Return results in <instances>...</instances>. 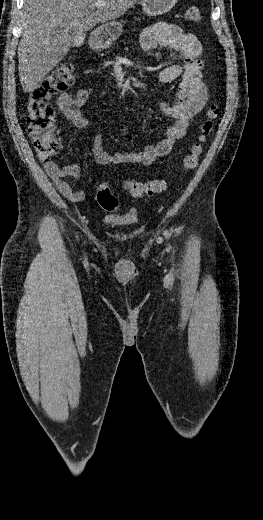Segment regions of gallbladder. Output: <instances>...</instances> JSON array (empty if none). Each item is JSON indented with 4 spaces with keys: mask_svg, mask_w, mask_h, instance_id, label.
Wrapping results in <instances>:
<instances>
[{
    "mask_svg": "<svg viewBox=\"0 0 263 520\" xmlns=\"http://www.w3.org/2000/svg\"><path fill=\"white\" fill-rule=\"evenodd\" d=\"M69 38L72 40V46L78 47L81 44L80 33L78 29L72 28L69 32Z\"/></svg>",
    "mask_w": 263,
    "mask_h": 520,
    "instance_id": "1",
    "label": "gallbladder"
}]
</instances>
